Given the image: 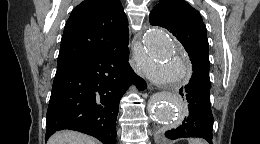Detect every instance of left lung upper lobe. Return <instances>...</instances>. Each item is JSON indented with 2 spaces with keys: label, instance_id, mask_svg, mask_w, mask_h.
I'll return each instance as SVG.
<instances>
[{
  "label": "left lung upper lobe",
  "instance_id": "5c2ea615",
  "mask_svg": "<svg viewBox=\"0 0 260 144\" xmlns=\"http://www.w3.org/2000/svg\"><path fill=\"white\" fill-rule=\"evenodd\" d=\"M150 24L169 30L188 56L209 62L207 31L197 10L182 0H159L149 15ZM192 63V62H191Z\"/></svg>",
  "mask_w": 260,
  "mask_h": 144
}]
</instances>
